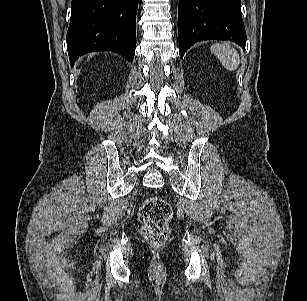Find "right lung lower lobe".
<instances>
[{
  "label": "right lung lower lobe",
  "instance_id": "1",
  "mask_svg": "<svg viewBox=\"0 0 307 301\" xmlns=\"http://www.w3.org/2000/svg\"><path fill=\"white\" fill-rule=\"evenodd\" d=\"M66 41L71 66L94 51H114L133 61L138 0H72Z\"/></svg>",
  "mask_w": 307,
  "mask_h": 301
}]
</instances>
